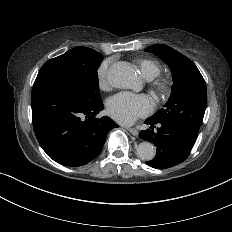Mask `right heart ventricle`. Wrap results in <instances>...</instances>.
Instances as JSON below:
<instances>
[{"label":"right heart ventricle","mask_w":232,"mask_h":232,"mask_svg":"<svg viewBox=\"0 0 232 232\" xmlns=\"http://www.w3.org/2000/svg\"><path fill=\"white\" fill-rule=\"evenodd\" d=\"M141 76L151 81L161 74V67L159 63L151 58H142L139 60Z\"/></svg>","instance_id":"1"}]
</instances>
